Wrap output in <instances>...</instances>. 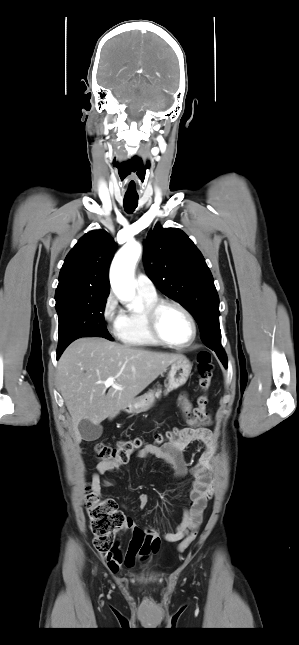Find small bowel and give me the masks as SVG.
<instances>
[{
    "mask_svg": "<svg viewBox=\"0 0 299 645\" xmlns=\"http://www.w3.org/2000/svg\"><path fill=\"white\" fill-rule=\"evenodd\" d=\"M179 406L187 423L183 428L181 435L165 444L162 447L146 445L135 454L136 458L146 459L156 457L164 461L170 468L173 478L179 479L190 473L193 477L189 491L188 507L184 509L181 522L172 532L161 534L158 529L147 525L140 528L131 518H127L125 528L133 532L132 540L128 549L123 553L119 544L106 554V562L110 568L119 567L124 564L132 567L138 559H145L158 552L162 541L177 542L183 539L193 528L200 524L207 501L213 494V486L210 481L209 472L212 470V460L216 447L215 436L210 429L211 419L209 416L199 422L192 423L189 417L193 411L192 405L187 396H182L179 400ZM193 442H200L204 449L199 454L194 463H190L185 458V451ZM120 466L100 462L96 467V472L92 476L91 488L97 495H101L102 488L114 485V481L103 477L106 473L117 472ZM149 496L146 493H140L137 497L138 507L143 510L148 506Z\"/></svg>",
    "mask_w": 299,
    "mask_h": 645,
    "instance_id": "small-bowel-1",
    "label": "small bowel"
}]
</instances>
